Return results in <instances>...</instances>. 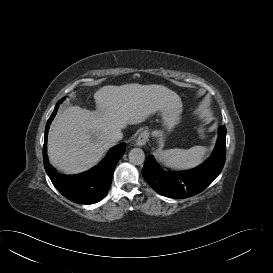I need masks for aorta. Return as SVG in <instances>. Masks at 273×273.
Wrapping results in <instances>:
<instances>
[{
    "label": "aorta",
    "mask_w": 273,
    "mask_h": 273,
    "mask_svg": "<svg viewBox=\"0 0 273 273\" xmlns=\"http://www.w3.org/2000/svg\"><path fill=\"white\" fill-rule=\"evenodd\" d=\"M129 161L134 165H142L145 161L144 151L140 148H133L129 152Z\"/></svg>",
    "instance_id": "obj_1"
}]
</instances>
